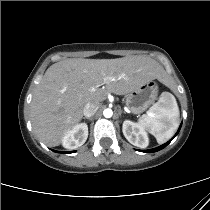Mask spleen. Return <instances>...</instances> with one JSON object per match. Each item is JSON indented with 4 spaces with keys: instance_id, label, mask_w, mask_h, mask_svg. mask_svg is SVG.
I'll use <instances>...</instances> for the list:
<instances>
[{
    "instance_id": "obj_1",
    "label": "spleen",
    "mask_w": 210,
    "mask_h": 210,
    "mask_svg": "<svg viewBox=\"0 0 210 210\" xmlns=\"http://www.w3.org/2000/svg\"><path fill=\"white\" fill-rule=\"evenodd\" d=\"M179 108L177 101L169 92H163L155 104L143 115L139 124L149 131L158 143L168 141L179 125Z\"/></svg>"
}]
</instances>
